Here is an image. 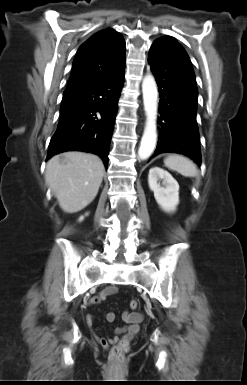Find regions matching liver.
Instances as JSON below:
<instances>
[{
    "mask_svg": "<svg viewBox=\"0 0 247 385\" xmlns=\"http://www.w3.org/2000/svg\"><path fill=\"white\" fill-rule=\"evenodd\" d=\"M104 175L102 160L84 152H65L52 157L46 166L45 181L61 209L76 213L96 197Z\"/></svg>",
    "mask_w": 247,
    "mask_h": 385,
    "instance_id": "1",
    "label": "liver"
}]
</instances>
